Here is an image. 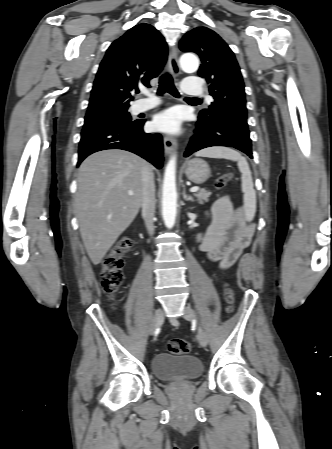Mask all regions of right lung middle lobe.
<instances>
[{
    "label": "right lung middle lobe",
    "instance_id": "dd1d6c3e",
    "mask_svg": "<svg viewBox=\"0 0 332 449\" xmlns=\"http://www.w3.org/2000/svg\"><path fill=\"white\" fill-rule=\"evenodd\" d=\"M132 118L128 112V107L118 109H105L95 112H89L85 116L83 128L99 124H129Z\"/></svg>",
    "mask_w": 332,
    "mask_h": 449
}]
</instances>
